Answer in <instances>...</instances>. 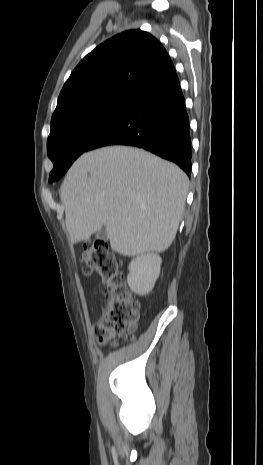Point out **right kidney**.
I'll use <instances>...</instances> for the list:
<instances>
[{
	"label": "right kidney",
	"instance_id": "obj_1",
	"mask_svg": "<svg viewBox=\"0 0 263 465\" xmlns=\"http://www.w3.org/2000/svg\"><path fill=\"white\" fill-rule=\"evenodd\" d=\"M161 262V257L154 253L133 259L129 264L127 276L131 290L137 294H148L159 277Z\"/></svg>",
	"mask_w": 263,
	"mask_h": 465
}]
</instances>
